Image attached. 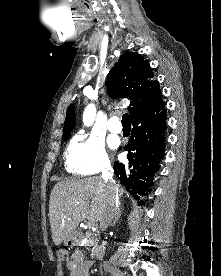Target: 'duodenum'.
Returning a JSON list of instances; mask_svg holds the SVG:
<instances>
[{"mask_svg":"<svg viewBox=\"0 0 221 276\" xmlns=\"http://www.w3.org/2000/svg\"><path fill=\"white\" fill-rule=\"evenodd\" d=\"M103 252H104V249L98 246L92 250V255L94 258H100L103 255Z\"/></svg>","mask_w":221,"mask_h":276,"instance_id":"410a0bca","label":"duodenum"}]
</instances>
